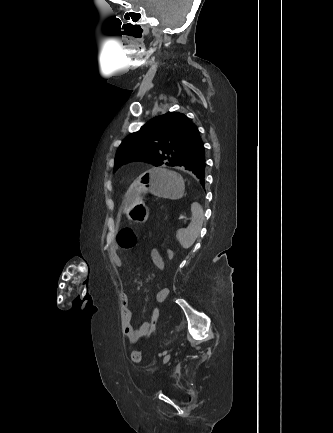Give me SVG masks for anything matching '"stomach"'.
I'll use <instances>...</instances> for the list:
<instances>
[{
  "label": "stomach",
  "mask_w": 333,
  "mask_h": 433,
  "mask_svg": "<svg viewBox=\"0 0 333 433\" xmlns=\"http://www.w3.org/2000/svg\"><path fill=\"white\" fill-rule=\"evenodd\" d=\"M139 183H149V191L165 199H184V181L174 169H146L138 175ZM135 224L142 225L148 218V208L144 201H139L129 215Z\"/></svg>",
  "instance_id": "1"
}]
</instances>
